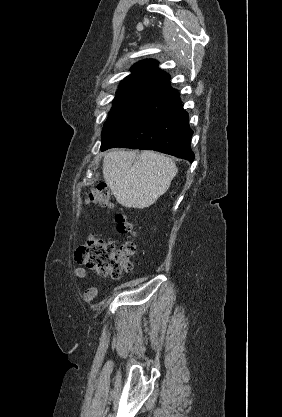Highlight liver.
I'll return each mask as SVG.
<instances>
[{
    "label": "liver",
    "instance_id": "obj_1",
    "mask_svg": "<svg viewBox=\"0 0 282 417\" xmlns=\"http://www.w3.org/2000/svg\"><path fill=\"white\" fill-rule=\"evenodd\" d=\"M135 158L136 150L113 148L104 156L103 176L117 202L144 209L166 192L178 168L172 158L154 150H142Z\"/></svg>",
    "mask_w": 282,
    "mask_h": 417
}]
</instances>
